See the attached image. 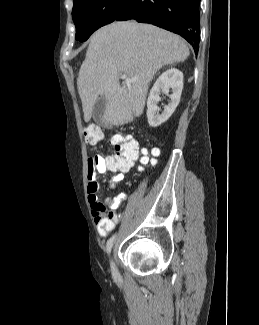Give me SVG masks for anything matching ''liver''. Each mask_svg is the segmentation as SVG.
Returning a JSON list of instances; mask_svg holds the SVG:
<instances>
[{
	"instance_id": "6515ba94",
	"label": "liver",
	"mask_w": 259,
	"mask_h": 325,
	"mask_svg": "<svg viewBox=\"0 0 259 325\" xmlns=\"http://www.w3.org/2000/svg\"><path fill=\"white\" fill-rule=\"evenodd\" d=\"M189 54L178 35L151 24L118 21L100 28L90 39L77 79L84 120H90L95 102L104 96L105 124L132 122L143 113L156 72L164 65L183 62ZM122 75L134 81L121 86Z\"/></svg>"
}]
</instances>
